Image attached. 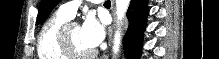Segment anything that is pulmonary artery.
Instances as JSON below:
<instances>
[{"instance_id":"pulmonary-artery-1","label":"pulmonary artery","mask_w":219,"mask_h":59,"mask_svg":"<svg viewBox=\"0 0 219 59\" xmlns=\"http://www.w3.org/2000/svg\"><path fill=\"white\" fill-rule=\"evenodd\" d=\"M81 4V1H70L62 4L58 11L67 16L68 18H73L76 14V11Z\"/></svg>"}]
</instances>
